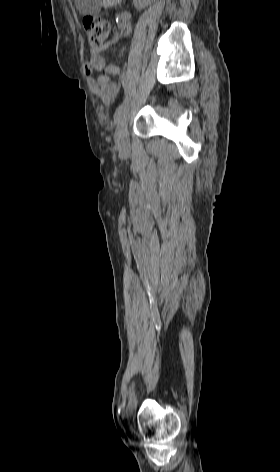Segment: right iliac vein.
<instances>
[{"mask_svg": "<svg viewBox=\"0 0 280 472\" xmlns=\"http://www.w3.org/2000/svg\"><path fill=\"white\" fill-rule=\"evenodd\" d=\"M128 120L129 111L126 110L122 115L121 119L119 120L115 132L116 145L122 156H127L130 152V144L128 137Z\"/></svg>", "mask_w": 280, "mask_h": 472, "instance_id": "right-iliac-vein-1", "label": "right iliac vein"}]
</instances>
